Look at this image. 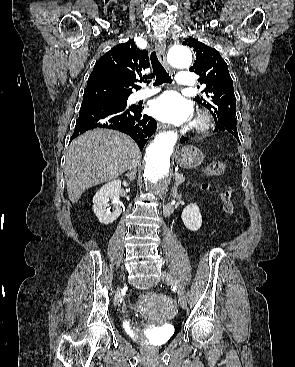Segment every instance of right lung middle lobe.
Masks as SVG:
<instances>
[{
    "instance_id": "right-lung-middle-lobe-1",
    "label": "right lung middle lobe",
    "mask_w": 295,
    "mask_h": 367,
    "mask_svg": "<svg viewBox=\"0 0 295 367\" xmlns=\"http://www.w3.org/2000/svg\"><path fill=\"white\" fill-rule=\"evenodd\" d=\"M128 95H120L105 88L85 89L82 105L86 104H113L126 106Z\"/></svg>"
}]
</instances>
